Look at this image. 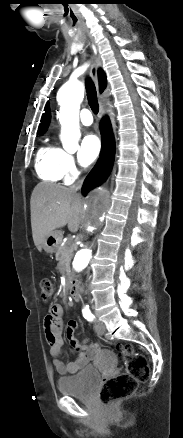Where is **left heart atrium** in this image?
Masks as SVG:
<instances>
[{
  "instance_id": "1",
  "label": "left heart atrium",
  "mask_w": 183,
  "mask_h": 438,
  "mask_svg": "<svg viewBox=\"0 0 183 438\" xmlns=\"http://www.w3.org/2000/svg\"><path fill=\"white\" fill-rule=\"evenodd\" d=\"M100 149L101 143L99 138L95 134L86 135L82 141L80 149L82 163H92L98 157Z\"/></svg>"
}]
</instances>
